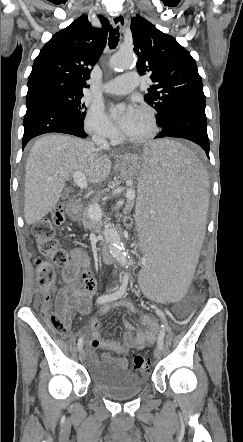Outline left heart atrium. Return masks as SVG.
<instances>
[{
	"instance_id": "left-heart-atrium-1",
	"label": "left heart atrium",
	"mask_w": 243,
	"mask_h": 442,
	"mask_svg": "<svg viewBox=\"0 0 243 442\" xmlns=\"http://www.w3.org/2000/svg\"><path fill=\"white\" fill-rule=\"evenodd\" d=\"M139 109H137L134 105H129L123 114V116L119 120L120 128L125 131L129 128L133 120L135 119Z\"/></svg>"
}]
</instances>
